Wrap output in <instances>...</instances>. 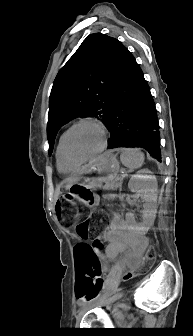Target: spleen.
<instances>
[{
  "label": "spleen",
  "mask_w": 193,
  "mask_h": 336,
  "mask_svg": "<svg viewBox=\"0 0 193 336\" xmlns=\"http://www.w3.org/2000/svg\"><path fill=\"white\" fill-rule=\"evenodd\" d=\"M120 159L124 166L137 169L143 165L145 157L139 150L127 148L122 150Z\"/></svg>",
  "instance_id": "obj_1"
}]
</instances>
